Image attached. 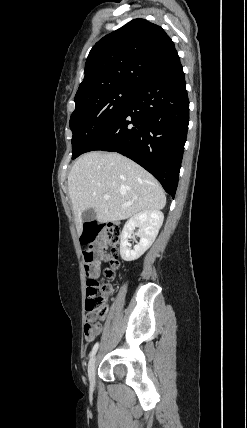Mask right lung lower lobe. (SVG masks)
<instances>
[{"label": "right lung lower lobe", "instance_id": "obj_1", "mask_svg": "<svg viewBox=\"0 0 247 428\" xmlns=\"http://www.w3.org/2000/svg\"><path fill=\"white\" fill-rule=\"evenodd\" d=\"M188 123L189 100L178 59L143 85L85 152L112 151L132 159L174 198Z\"/></svg>", "mask_w": 247, "mask_h": 428}]
</instances>
